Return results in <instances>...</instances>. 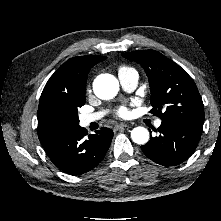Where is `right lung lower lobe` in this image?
Returning <instances> with one entry per match:
<instances>
[{
  "label": "right lung lower lobe",
  "mask_w": 221,
  "mask_h": 221,
  "mask_svg": "<svg viewBox=\"0 0 221 221\" xmlns=\"http://www.w3.org/2000/svg\"><path fill=\"white\" fill-rule=\"evenodd\" d=\"M95 133L87 137V131L78 127L44 146V150L59 169L80 175L96 167L110 146L111 129L103 127Z\"/></svg>",
  "instance_id": "obj_1"
}]
</instances>
